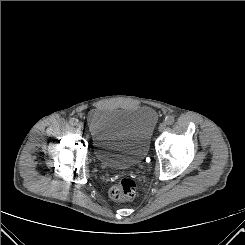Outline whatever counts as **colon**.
<instances>
[{
    "instance_id": "5ec220e1",
    "label": "colon",
    "mask_w": 245,
    "mask_h": 245,
    "mask_svg": "<svg viewBox=\"0 0 245 245\" xmlns=\"http://www.w3.org/2000/svg\"><path fill=\"white\" fill-rule=\"evenodd\" d=\"M136 190L135 181L130 178H124L110 188L109 196L114 201L126 202L135 197Z\"/></svg>"
}]
</instances>
